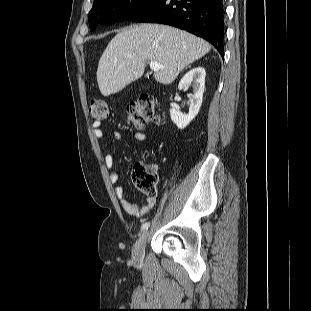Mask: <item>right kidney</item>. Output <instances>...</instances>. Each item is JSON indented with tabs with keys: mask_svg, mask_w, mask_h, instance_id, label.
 I'll return each mask as SVG.
<instances>
[{
	"mask_svg": "<svg viewBox=\"0 0 311 311\" xmlns=\"http://www.w3.org/2000/svg\"><path fill=\"white\" fill-rule=\"evenodd\" d=\"M205 76V69L203 67H196L186 73L178 85L180 90L186 88L190 84L193 86L189 113L187 115L183 114L178 106H172L170 109L171 120L179 129H184L196 117L200 110L205 89Z\"/></svg>",
	"mask_w": 311,
	"mask_h": 311,
	"instance_id": "1",
	"label": "right kidney"
}]
</instances>
